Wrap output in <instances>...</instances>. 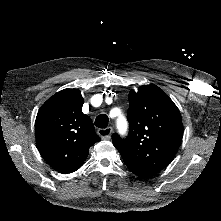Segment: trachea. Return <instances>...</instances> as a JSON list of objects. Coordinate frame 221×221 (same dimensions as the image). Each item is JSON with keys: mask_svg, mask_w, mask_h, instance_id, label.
Here are the masks:
<instances>
[{"mask_svg": "<svg viewBox=\"0 0 221 221\" xmlns=\"http://www.w3.org/2000/svg\"><path fill=\"white\" fill-rule=\"evenodd\" d=\"M109 118L106 114L98 115L95 119L94 124L101 129H104L108 126Z\"/></svg>", "mask_w": 221, "mask_h": 221, "instance_id": "obj_1", "label": "trachea"}]
</instances>
